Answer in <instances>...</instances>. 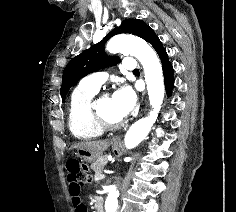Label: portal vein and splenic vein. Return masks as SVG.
I'll return each instance as SVG.
<instances>
[{"instance_id": "1", "label": "portal vein and splenic vein", "mask_w": 236, "mask_h": 212, "mask_svg": "<svg viewBox=\"0 0 236 212\" xmlns=\"http://www.w3.org/2000/svg\"><path fill=\"white\" fill-rule=\"evenodd\" d=\"M104 173H110V171H104ZM97 178L103 179V178H105V175H104V174H101L100 176H97ZM97 178H96V179H97Z\"/></svg>"}]
</instances>
